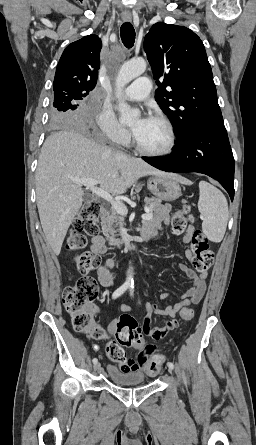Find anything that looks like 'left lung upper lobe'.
I'll return each instance as SVG.
<instances>
[{"mask_svg": "<svg viewBox=\"0 0 256 445\" xmlns=\"http://www.w3.org/2000/svg\"><path fill=\"white\" fill-rule=\"evenodd\" d=\"M144 49L158 79L155 100L177 139L194 126L224 125L206 51L193 31L158 22L145 36Z\"/></svg>", "mask_w": 256, "mask_h": 445, "instance_id": "5c2ea615", "label": "left lung upper lobe"}]
</instances>
